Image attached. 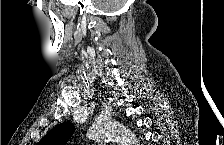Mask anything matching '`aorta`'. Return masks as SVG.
<instances>
[{"mask_svg": "<svg viewBox=\"0 0 224 145\" xmlns=\"http://www.w3.org/2000/svg\"><path fill=\"white\" fill-rule=\"evenodd\" d=\"M87 134L94 141H114L120 145L138 144V140L132 131L117 122L93 124Z\"/></svg>", "mask_w": 224, "mask_h": 145, "instance_id": "aorta-1", "label": "aorta"}]
</instances>
